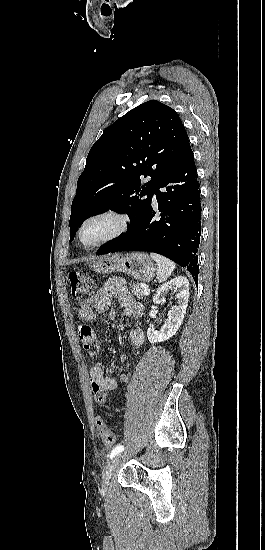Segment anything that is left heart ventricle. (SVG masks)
I'll use <instances>...</instances> for the list:
<instances>
[{
  "mask_svg": "<svg viewBox=\"0 0 265 550\" xmlns=\"http://www.w3.org/2000/svg\"><path fill=\"white\" fill-rule=\"evenodd\" d=\"M112 222L109 219H98L92 222L83 232L82 241L85 244L93 243L111 230Z\"/></svg>",
  "mask_w": 265,
  "mask_h": 550,
  "instance_id": "1",
  "label": "left heart ventricle"
}]
</instances>
